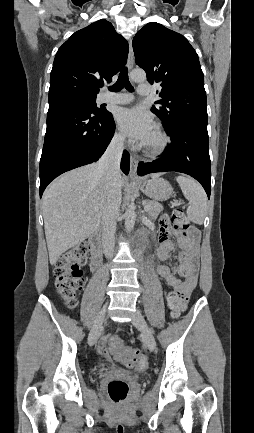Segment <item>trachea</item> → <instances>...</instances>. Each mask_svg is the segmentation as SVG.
Wrapping results in <instances>:
<instances>
[{
    "label": "trachea",
    "instance_id": "1",
    "mask_svg": "<svg viewBox=\"0 0 254 433\" xmlns=\"http://www.w3.org/2000/svg\"><path fill=\"white\" fill-rule=\"evenodd\" d=\"M123 87H125L127 90L132 91L133 90V86L131 85V83L129 82V78H128V69L126 67H124L121 72L119 73V77L117 82L109 87L110 91L113 92H118L120 91Z\"/></svg>",
    "mask_w": 254,
    "mask_h": 433
}]
</instances>
